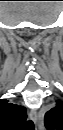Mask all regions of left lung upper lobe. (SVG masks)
<instances>
[{
	"label": "left lung upper lobe",
	"instance_id": "5c2ea615",
	"mask_svg": "<svg viewBox=\"0 0 63 130\" xmlns=\"http://www.w3.org/2000/svg\"><path fill=\"white\" fill-rule=\"evenodd\" d=\"M45 126L48 130H62L63 128V104L58 102L55 108L45 115Z\"/></svg>",
	"mask_w": 63,
	"mask_h": 130
}]
</instances>
